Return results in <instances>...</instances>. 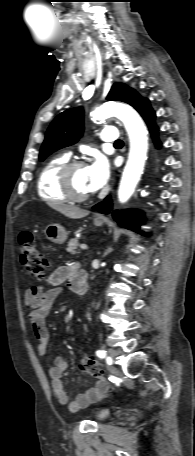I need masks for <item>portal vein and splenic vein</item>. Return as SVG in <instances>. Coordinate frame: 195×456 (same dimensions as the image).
<instances>
[{
	"label": "portal vein and splenic vein",
	"instance_id": "portal-vein-and-splenic-vein-1",
	"mask_svg": "<svg viewBox=\"0 0 195 456\" xmlns=\"http://www.w3.org/2000/svg\"><path fill=\"white\" fill-rule=\"evenodd\" d=\"M80 248H81L82 250H86L88 247H87V245H85V244H81V245H80Z\"/></svg>",
	"mask_w": 195,
	"mask_h": 456
}]
</instances>
